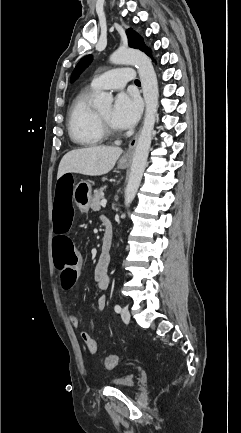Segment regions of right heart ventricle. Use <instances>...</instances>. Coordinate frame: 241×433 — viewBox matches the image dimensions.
<instances>
[{
    "label": "right heart ventricle",
    "instance_id": "1",
    "mask_svg": "<svg viewBox=\"0 0 241 433\" xmlns=\"http://www.w3.org/2000/svg\"><path fill=\"white\" fill-rule=\"evenodd\" d=\"M93 95L94 91L90 89L81 91L69 110V135L80 146H95L105 140L97 122L96 110L92 106Z\"/></svg>",
    "mask_w": 241,
    "mask_h": 433
}]
</instances>
